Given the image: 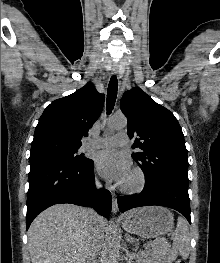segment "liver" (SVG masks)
<instances>
[{"label":"liver","mask_w":220,"mask_h":263,"mask_svg":"<svg viewBox=\"0 0 220 263\" xmlns=\"http://www.w3.org/2000/svg\"><path fill=\"white\" fill-rule=\"evenodd\" d=\"M93 224L103 231L106 221L101 216L93 220L87 209L73 204L47 208L28 230L31 262L85 263Z\"/></svg>","instance_id":"obj_1"}]
</instances>
